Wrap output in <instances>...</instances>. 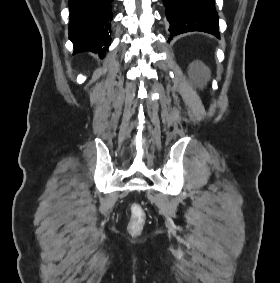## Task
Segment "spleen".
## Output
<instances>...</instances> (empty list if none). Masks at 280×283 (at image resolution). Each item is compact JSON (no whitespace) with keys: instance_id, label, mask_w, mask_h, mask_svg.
<instances>
[{"instance_id":"1","label":"spleen","mask_w":280,"mask_h":283,"mask_svg":"<svg viewBox=\"0 0 280 283\" xmlns=\"http://www.w3.org/2000/svg\"><path fill=\"white\" fill-rule=\"evenodd\" d=\"M203 75H204V78H205V79H208V78H209V71H208V70H205L204 73H203Z\"/></svg>"}]
</instances>
